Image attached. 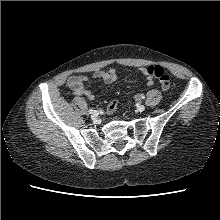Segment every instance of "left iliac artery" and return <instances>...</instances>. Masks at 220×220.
Here are the masks:
<instances>
[{"instance_id":"1","label":"left iliac artery","mask_w":220,"mask_h":220,"mask_svg":"<svg viewBox=\"0 0 220 220\" xmlns=\"http://www.w3.org/2000/svg\"><path fill=\"white\" fill-rule=\"evenodd\" d=\"M140 98H141V99H145V95H144V94H141V95H140Z\"/></svg>"}]
</instances>
